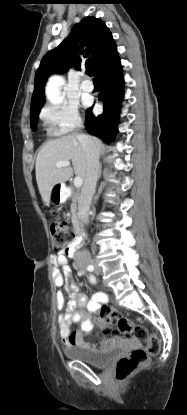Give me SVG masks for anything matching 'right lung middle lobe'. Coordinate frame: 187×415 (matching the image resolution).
Segmentation results:
<instances>
[{
    "label": "right lung middle lobe",
    "instance_id": "obj_1",
    "mask_svg": "<svg viewBox=\"0 0 187 415\" xmlns=\"http://www.w3.org/2000/svg\"><path fill=\"white\" fill-rule=\"evenodd\" d=\"M40 109L41 107L30 113V124H31V129L33 131H35L37 127V120H38Z\"/></svg>",
    "mask_w": 187,
    "mask_h": 415
}]
</instances>
